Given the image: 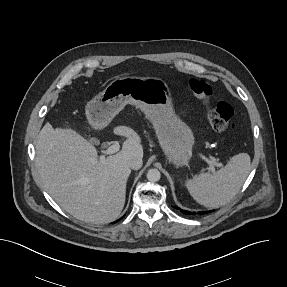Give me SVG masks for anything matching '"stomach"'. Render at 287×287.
I'll return each mask as SVG.
<instances>
[{"mask_svg": "<svg viewBox=\"0 0 287 287\" xmlns=\"http://www.w3.org/2000/svg\"><path fill=\"white\" fill-rule=\"evenodd\" d=\"M127 104L151 122L167 160L176 167L187 165L195 138L175 113L167 83L158 77L117 78L88 103L86 116L93 128L101 129Z\"/></svg>", "mask_w": 287, "mask_h": 287, "instance_id": "obj_1", "label": "stomach"}]
</instances>
